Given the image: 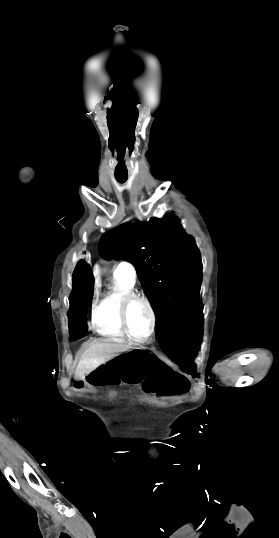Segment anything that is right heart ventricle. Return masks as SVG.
Here are the masks:
<instances>
[{
    "instance_id": "1",
    "label": "right heart ventricle",
    "mask_w": 279,
    "mask_h": 538,
    "mask_svg": "<svg viewBox=\"0 0 279 538\" xmlns=\"http://www.w3.org/2000/svg\"><path fill=\"white\" fill-rule=\"evenodd\" d=\"M134 283L123 276L114 275L113 287L93 302L91 326L97 333L111 338L126 337L119 322L118 310L123 297L133 292Z\"/></svg>"
}]
</instances>
